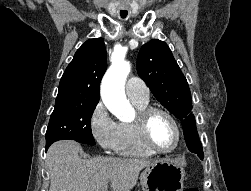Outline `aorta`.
<instances>
[{
	"label": "aorta",
	"mask_w": 251,
	"mask_h": 191,
	"mask_svg": "<svg viewBox=\"0 0 251 191\" xmlns=\"http://www.w3.org/2000/svg\"><path fill=\"white\" fill-rule=\"evenodd\" d=\"M131 66L121 56H112V66L107 70L101 84V97L109 111L120 121H130L134 109L125 96V82Z\"/></svg>",
	"instance_id": "aorta-1"
}]
</instances>
